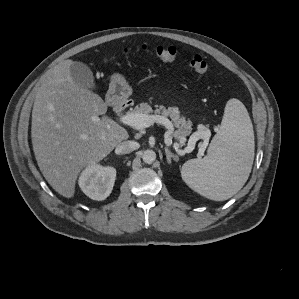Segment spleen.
<instances>
[{
	"label": "spleen",
	"mask_w": 299,
	"mask_h": 299,
	"mask_svg": "<svg viewBox=\"0 0 299 299\" xmlns=\"http://www.w3.org/2000/svg\"><path fill=\"white\" fill-rule=\"evenodd\" d=\"M253 126L244 104L230 99L220 130L203 159H191L181 169L184 182L202 196L227 200L246 183L254 160Z\"/></svg>",
	"instance_id": "1"
}]
</instances>
